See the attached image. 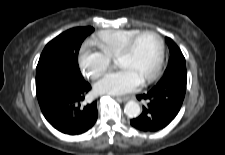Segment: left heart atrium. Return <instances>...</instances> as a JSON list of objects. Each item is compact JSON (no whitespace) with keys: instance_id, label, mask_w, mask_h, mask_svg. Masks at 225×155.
I'll list each match as a JSON object with an SVG mask.
<instances>
[{"instance_id":"obj_1","label":"left heart atrium","mask_w":225,"mask_h":155,"mask_svg":"<svg viewBox=\"0 0 225 155\" xmlns=\"http://www.w3.org/2000/svg\"><path fill=\"white\" fill-rule=\"evenodd\" d=\"M141 83L142 80L134 72L121 68L102 77L96 82L94 89L97 93L119 95L136 90Z\"/></svg>"}]
</instances>
